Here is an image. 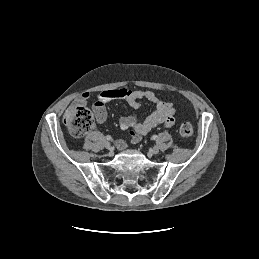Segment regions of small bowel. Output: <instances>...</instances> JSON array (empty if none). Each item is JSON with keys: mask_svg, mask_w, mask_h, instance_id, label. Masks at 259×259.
<instances>
[{"mask_svg": "<svg viewBox=\"0 0 259 259\" xmlns=\"http://www.w3.org/2000/svg\"><path fill=\"white\" fill-rule=\"evenodd\" d=\"M90 98L89 93H83L75 99L74 104L85 105ZM114 99H124L132 108L133 112L123 115L119 119L120 128L127 133L132 143L141 141L144 135L150 133L158 126L171 127L175 123V108L172 103L162 100L152 91L131 90L126 88L107 89L98 93L97 100L93 105V112L98 123L105 121L107 117L105 104ZM146 100L155 104V111L144 119H139L136 110ZM127 143L121 139L117 143L120 150L125 149Z\"/></svg>", "mask_w": 259, "mask_h": 259, "instance_id": "small-bowel-1", "label": "small bowel"}]
</instances>
